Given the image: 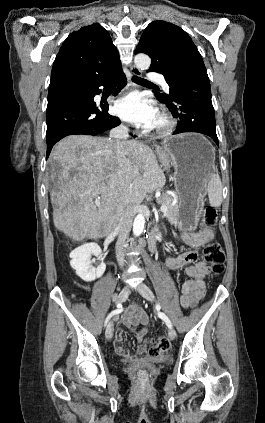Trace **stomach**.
<instances>
[{"mask_svg":"<svg viewBox=\"0 0 265 423\" xmlns=\"http://www.w3.org/2000/svg\"><path fill=\"white\" fill-rule=\"evenodd\" d=\"M163 148L175 169L177 225L181 230L193 231L202 214L206 184L215 169L214 147L203 135L185 133L166 138Z\"/></svg>","mask_w":265,"mask_h":423,"instance_id":"stomach-1","label":"stomach"}]
</instances>
